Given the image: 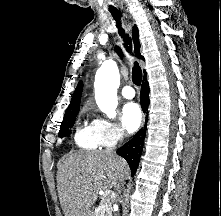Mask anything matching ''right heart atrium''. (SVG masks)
Returning a JSON list of instances; mask_svg holds the SVG:
<instances>
[{"label": "right heart atrium", "instance_id": "1", "mask_svg": "<svg viewBox=\"0 0 221 216\" xmlns=\"http://www.w3.org/2000/svg\"><path fill=\"white\" fill-rule=\"evenodd\" d=\"M91 127L95 138L100 146L103 147H113L120 143L125 137V133L121 126L115 121L107 118H95Z\"/></svg>", "mask_w": 221, "mask_h": 216}]
</instances>
